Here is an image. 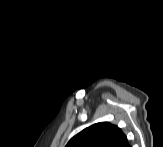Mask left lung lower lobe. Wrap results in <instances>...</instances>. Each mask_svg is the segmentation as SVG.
<instances>
[{
  "label": "left lung lower lobe",
  "mask_w": 163,
  "mask_h": 147,
  "mask_svg": "<svg viewBox=\"0 0 163 147\" xmlns=\"http://www.w3.org/2000/svg\"><path fill=\"white\" fill-rule=\"evenodd\" d=\"M116 147H130L128 142H127V138L125 135H123L120 139V141L118 142Z\"/></svg>",
  "instance_id": "0a47b994"
}]
</instances>
